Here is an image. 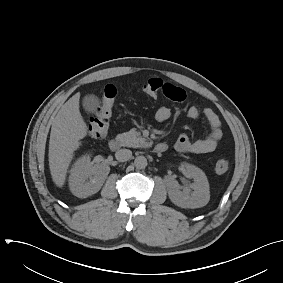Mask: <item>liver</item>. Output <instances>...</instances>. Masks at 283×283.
Wrapping results in <instances>:
<instances>
[{"label": "liver", "mask_w": 283, "mask_h": 283, "mask_svg": "<svg viewBox=\"0 0 283 283\" xmlns=\"http://www.w3.org/2000/svg\"><path fill=\"white\" fill-rule=\"evenodd\" d=\"M80 94L72 96L53 118L49 140V168L52 180L63 187L74 151L87 135V125L79 110Z\"/></svg>", "instance_id": "liver-1"}]
</instances>
